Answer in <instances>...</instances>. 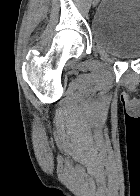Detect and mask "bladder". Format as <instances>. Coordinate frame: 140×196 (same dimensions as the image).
I'll list each match as a JSON object with an SVG mask.
<instances>
[{
	"label": "bladder",
	"instance_id": "1",
	"mask_svg": "<svg viewBox=\"0 0 140 196\" xmlns=\"http://www.w3.org/2000/svg\"><path fill=\"white\" fill-rule=\"evenodd\" d=\"M94 44L120 59L140 58V0H103L91 24Z\"/></svg>",
	"mask_w": 140,
	"mask_h": 196
}]
</instances>
